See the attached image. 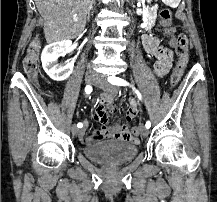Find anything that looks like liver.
Returning <instances> with one entry per match:
<instances>
[{"instance_id": "obj_1", "label": "liver", "mask_w": 217, "mask_h": 202, "mask_svg": "<svg viewBox=\"0 0 217 202\" xmlns=\"http://www.w3.org/2000/svg\"><path fill=\"white\" fill-rule=\"evenodd\" d=\"M36 8L44 18L43 32L47 44L74 40L82 34L87 16L89 0H34ZM74 16L78 22L73 20Z\"/></svg>"}]
</instances>
